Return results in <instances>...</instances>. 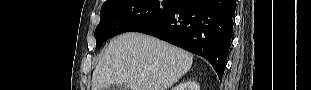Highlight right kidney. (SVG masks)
<instances>
[{"label": "right kidney", "mask_w": 311, "mask_h": 90, "mask_svg": "<svg viewBox=\"0 0 311 90\" xmlns=\"http://www.w3.org/2000/svg\"><path fill=\"white\" fill-rule=\"evenodd\" d=\"M174 90H200V86L194 81H188L180 84Z\"/></svg>", "instance_id": "1"}]
</instances>
